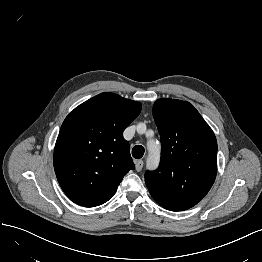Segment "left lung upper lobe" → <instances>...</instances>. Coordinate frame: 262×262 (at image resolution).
<instances>
[{
  "mask_svg": "<svg viewBox=\"0 0 262 262\" xmlns=\"http://www.w3.org/2000/svg\"><path fill=\"white\" fill-rule=\"evenodd\" d=\"M153 116L162 144L161 162L157 170L146 172L145 183L165 209H189L205 197L215 181V135L187 101L159 99Z\"/></svg>",
  "mask_w": 262,
  "mask_h": 262,
  "instance_id": "1",
  "label": "left lung upper lobe"
}]
</instances>
